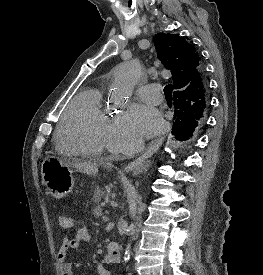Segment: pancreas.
<instances>
[{
  "mask_svg": "<svg viewBox=\"0 0 263 275\" xmlns=\"http://www.w3.org/2000/svg\"><path fill=\"white\" fill-rule=\"evenodd\" d=\"M103 195H104V192L102 191H97L94 193L93 199L97 203V205L93 209L94 218H99L102 215V207L98 203L100 202Z\"/></svg>",
  "mask_w": 263,
  "mask_h": 275,
  "instance_id": "obj_1",
  "label": "pancreas"
}]
</instances>
